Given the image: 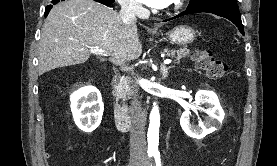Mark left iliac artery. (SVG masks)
<instances>
[{
  "instance_id": "left-iliac-artery-1",
  "label": "left iliac artery",
  "mask_w": 277,
  "mask_h": 166,
  "mask_svg": "<svg viewBox=\"0 0 277 166\" xmlns=\"http://www.w3.org/2000/svg\"><path fill=\"white\" fill-rule=\"evenodd\" d=\"M154 158H155L156 166H161L160 154L159 153H155L154 154Z\"/></svg>"
}]
</instances>
